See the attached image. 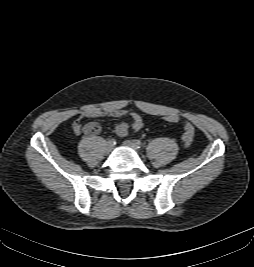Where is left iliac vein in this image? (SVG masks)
<instances>
[{
    "mask_svg": "<svg viewBox=\"0 0 254 267\" xmlns=\"http://www.w3.org/2000/svg\"><path fill=\"white\" fill-rule=\"evenodd\" d=\"M124 145L133 149V150H137L136 145L134 144V142L130 141V140H126L124 141Z\"/></svg>",
    "mask_w": 254,
    "mask_h": 267,
    "instance_id": "4c4485c4",
    "label": "left iliac vein"
}]
</instances>
